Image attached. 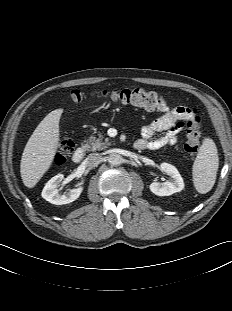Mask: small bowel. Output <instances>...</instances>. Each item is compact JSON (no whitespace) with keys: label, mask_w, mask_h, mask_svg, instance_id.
<instances>
[{"label":"small bowel","mask_w":232,"mask_h":311,"mask_svg":"<svg viewBox=\"0 0 232 311\" xmlns=\"http://www.w3.org/2000/svg\"><path fill=\"white\" fill-rule=\"evenodd\" d=\"M162 114L142 128V138L138 140L140 150H158L176 143L184 123L190 117L191 108L177 106L170 108L164 103ZM159 132L164 134L156 139L152 137Z\"/></svg>","instance_id":"1"}]
</instances>
